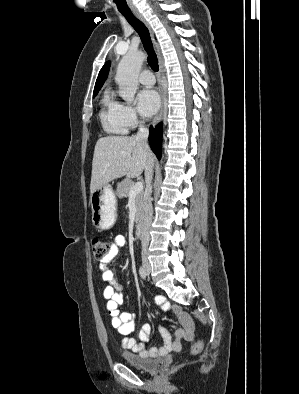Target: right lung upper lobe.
Here are the masks:
<instances>
[{
	"instance_id": "right-lung-upper-lobe-1",
	"label": "right lung upper lobe",
	"mask_w": 299,
	"mask_h": 394,
	"mask_svg": "<svg viewBox=\"0 0 299 394\" xmlns=\"http://www.w3.org/2000/svg\"><path fill=\"white\" fill-rule=\"evenodd\" d=\"M109 68H110V62L108 61L99 72V75H98L96 83H95V88H94L93 94H97L98 91L101 89L102 85L104 84V82L108 76Z\"/></svg>"
}]
</instances>
